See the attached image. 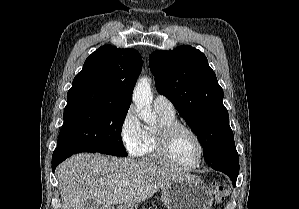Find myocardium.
I'll return each mask as SVG.
<instances>
[{
  "label": "myocardium",
  "mask_w": 299,
  "mask_h": 209,
  "mask_svg": "<svg viewBox=\"0 0 299 209\" xmlns=\"http://www.w3.org/2000/svg\"><path fill=\"white\" fill-rule=\"evenodd\" d=\"M180 132H187L191 134L199 146V158L196 163L192 165H181L174 161V159L171 156V146L173 138ZM155 151L156 155L159 158V161L169 167L178 169V170H194L198 168L205 156V146L201 139V137L198 135V133L193 130L192 128L183 125L181 123H173V124H167V125H161L157 128L155 132Z\"/></svg>",
  "instance_id": "1"
}]
</instances>
